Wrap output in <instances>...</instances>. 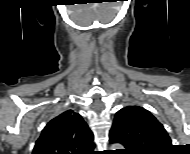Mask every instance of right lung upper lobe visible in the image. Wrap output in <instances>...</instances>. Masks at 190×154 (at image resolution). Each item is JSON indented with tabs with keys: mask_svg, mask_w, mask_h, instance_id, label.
Returning <instances> with one entry per match:
<instances>
[{
	"mask_svg": "<svg viewBox=\"0 0 190 154\" xmlns=\"http://www.w3.org/2000/svg\"><path fill=\"white\" fill-rule=\"evenodd\" d=\"M94 147L87 123L78 113L67 110L45 126L33 154H91Z\"/></svg>",
	"mask_w": 190,
	"mask_h": 154,
	"instance_id": "obj_1",
	"label": "right lung upper lobe"
}]
</instances>
